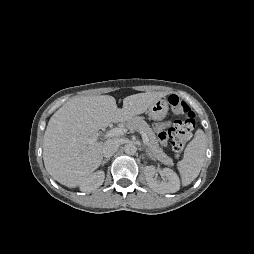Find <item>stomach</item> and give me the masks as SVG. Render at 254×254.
<instances>
[{"label": "stomach", "instance_id": "obj_1", "mask_svg": "<svg viewBox=\"0 0 254 254\" xmlns=\"http://www.w3.org/2000/svg\"><path fill=\"white\" fill-rule=\"evenodd\" d=\"M168 102L164 99L157 100L147 111L149 117L155 121H162L168 112Z\"/></svg>", "mask_w": 254, "mask_h": 254}]
</instances>
